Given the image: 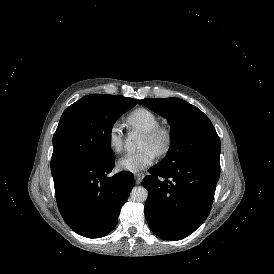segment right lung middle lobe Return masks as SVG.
Listing matches in <instances>:
<instances>
[{
  "label": "right lung middle lobe",
  "mask_w": 274,
  "mask_h": 274,
  "mask_svg": "<svg viewBox=\"0 0 274 274\" xmlns=\"http://www.w3.org/2000/svg\"><path fill=\"white\" fill-rule=\"evenodd\" d=\"M136 104V100L120 95L92 94L69 106L53 136L51 169L78 161L102 163L112 159V127Z\"/></svg>",
  "instance_id": "right-lung-middle-lobe-1"
}]
</instances>
